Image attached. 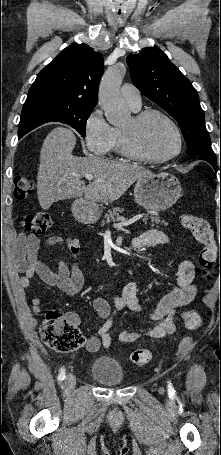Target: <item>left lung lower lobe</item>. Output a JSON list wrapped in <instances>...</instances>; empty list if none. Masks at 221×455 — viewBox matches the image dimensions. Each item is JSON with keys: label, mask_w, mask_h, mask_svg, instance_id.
<instances>
[{"label": "left lung lower lobe", "mask_w": 221, "mask_h": 455, "mask_svg": "<svg viewBox=\"0 0 221 455\" xmlns=\"http://www.w3.org/2000/svg\"><path fill=\"white\" fill-rule=\"evenodd\" d=\"M198 159L200 160H205L207 161L208 163H210L213 168L215 169V171L217 172V170L219 169V162L217 161L216 157L215 156H211V155H198L196 156ZM220 173H221V159H220Z\"/></svg>", "instance_id": "obj_1"}]
</instances>
